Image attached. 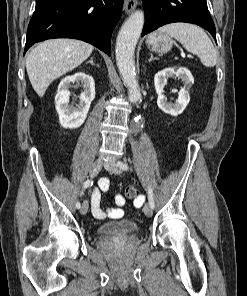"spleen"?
Returning <instances> with one entry per match:
<instances>
[{
  "label": "spleen",
  "instance_id": "1",
  "mask_svg": "<svg viewBox=\"0 0 247 296\" xmlns=\"http://www.w3.org/2000/svg\"><path fill=\"white\" fill-rule=\"evenodd\" d=\"M158 32L177 39L190 53L197 55L206 67L217 63V52L208 35L197 25L189 23H171L162 26Z\"/></svg>",
  "mask_w": 247,
  "mask_h": 296
}]
</instances>
